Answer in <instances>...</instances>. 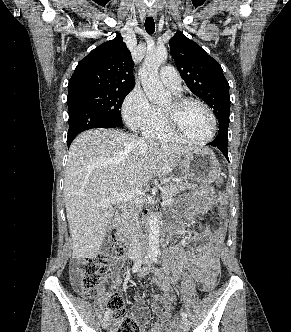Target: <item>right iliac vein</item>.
<instances>
[{"label":"right iliac vein","mask_w":291,"mask_h":332,"mask_svg":"<svg viewBox=\"0 0 291 332\" xmlns=\"http://www.w3.org/2000/svg\"><path fill=\"white\" fill-rule=\"evenodd\" d=\"M109 325H110V317H109V316H105V317L102 319V327H103L104 329H106Z\"/></svg>","instance_id":"obj_1"}]
</instances>
